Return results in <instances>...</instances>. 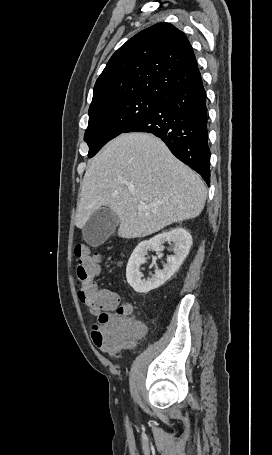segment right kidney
I'll use <instances>...</instances> for the list:
<instances>
[{"label":"right kidney","mask_w":272,"mask_h":455,"mask_svg":"<svg viewBox=\"0 0 272 455\" xmlns=\"http://www.w3.org/2000/svg\"><path fill=\"white\" fill-rule=\"evenodd\" d=\"M173 242L174 255L167 257V264L162 270H156L155 275L150 279H142L143 274L140 272V266L145 263L148 250L158 252V257L163 254V244ZM192 245V236L181 227L175 228L169 232H163L151 238L148 241L140 242L132 252L127 268L126 278L128 284L138 293H148L163 285L178 270L185 258L187 257Z\"/></svg>","instance_id":"1"}]
</instances>
